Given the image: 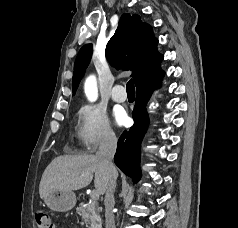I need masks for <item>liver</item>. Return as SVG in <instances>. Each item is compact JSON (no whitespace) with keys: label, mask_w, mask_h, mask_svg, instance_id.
Wrapping results in <instances>:
<instances>
[{"label":"liver","mask_w":238,"mask_h":228,"mask_svg":"<svg viewBox=\"0 0 238 228\" xmlns=\"http://www.w3.org/2000/svg\"><path fill=\"white\" fill-rule=\"evenodd\" d=\"M109 176L107 166L97 155L59 156L51 161L42 175L39 185L40 198H44L50 190L82 189L91 183L93 177L96 191L103 195Z\"/></svg>","instance_id":"obj_1"}]
</instances>
